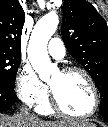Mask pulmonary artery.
Listing matches in <instances>:
<instances>
[{"mask_svg":"<svg viewBox=\"0 0 108 127\" xmlns=\"http://www.w3.org/2000/svg\"><path fill=\"white\" fill-rule=\"evenodd\" d=\"M49 54L57 59L61 60L65 56V46L59 38H52L48 44Z\"/></svg>","mask_w":108,"mask_h":127,"instance_id":"obj_1","label":"pulmonary artery"}]
</instances>
